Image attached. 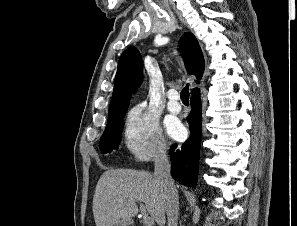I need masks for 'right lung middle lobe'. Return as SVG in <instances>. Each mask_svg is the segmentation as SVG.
<instances>
[{"label":"right lung middle lobe","instance_id":"dd1d6c3e","mask_svg":"<svg viewBox=\"0 0 297 226\" xmlns=\"http://www.w3.org/2000/svg\"><path fill=\"white\" fill-rule=\"evenodd\" d=\"M127 109L128 105L109 109L107 126L100 141L102 153L118 148Z\"/></svg>","mask_w":297,"mask_h":226}]
</instances>
